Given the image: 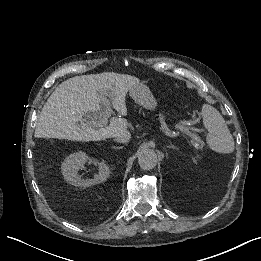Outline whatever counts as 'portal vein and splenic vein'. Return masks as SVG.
I'll return each mask as SVG.
<instances>
[{"label":"portal vein and splenic vein","instance_id":"portal-vein-and-splenic-vein-1","mask_svg":"<svg viewBox=\"0 0 261 261\" xmlns=\"http://www.w3.org/2000/svg\"><path fill=\"white\" fill-rule=\"evenodd\" d=\"M107 122L108 121L105 119H102L99 122L92 121L89 124V126L90 127H102L103 125H106ZM171 126H173V128H176V129H179L180 131H182L186 137H188L190 140H193L194 142L200 143L202 141V138L200 136L194 135L186 128L181 127V124L176 123V121H171Z\"/></svg>","mask_w":261,"mask_h":261}]
</instances>
